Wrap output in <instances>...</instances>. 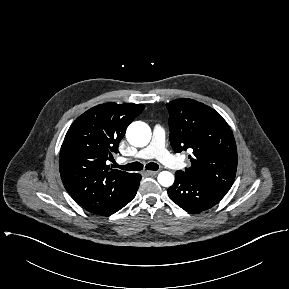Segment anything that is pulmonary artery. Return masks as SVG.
Returning a JSON list of instances; mask_svg holds the SVG:
<instances>
[{"label":"pulmonary artery","mask_w":289,"mask_h":289,"mask_svg":"<svg viewBox=\"0 0 289 289\" xmlns=\"http://www.w3.org/2000/svg\"><path fill=\"white\" fill-rule=\"evenodd\" d=\"M165 129L156 125L150 143L135 155V158L151 159L156 158L169 167H177L180 162L171 155L165 148Z\"/></svg>","instance_id":"e3ab8cb5"}]
</instances>
